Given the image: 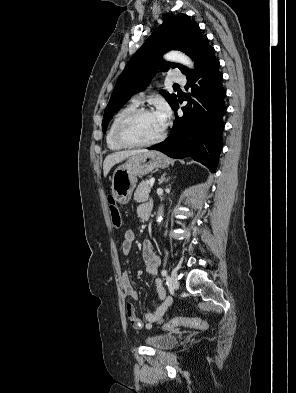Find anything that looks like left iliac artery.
<instances>
[{"mask_svg": "<svg viewBox=\"0 0 296 393\" xmlns=\"http://www.w3.org/2000/svg\"><path fill=\"white\" fill-rule=\"evenodd\" d=\"M161 274H162V276L167 277L168 272H167V270L164 269V270H162Z\"/></svg>", "mask_w": 296, "mask_h": 393, "instance_id": "obj_1", "label": "left iliac artery"}]
</instances>
